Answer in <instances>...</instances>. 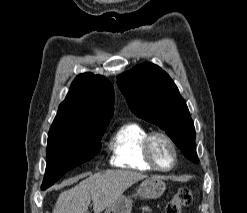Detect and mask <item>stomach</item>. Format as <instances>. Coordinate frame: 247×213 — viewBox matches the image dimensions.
<instances>
[{
  "label": "stomach",
  "instance_id": "obj_1",
  "mask_svg": "<svg viewBox=\"0 0 247 213\" xmlns=\"http://www.w3.org/2000/svg\"><path fill=\"white\" fill-rule=\"evenodd\" d=\"M166 189L165 183L158 177H151L144 180L134 197L139 196L145 199L159 198ZM132 199L127 196H121L114 204L107 207L104 213H131Z\"/></svg>",
  "mask_w": 247,
  "mask_h": 213
}]
</instances>
